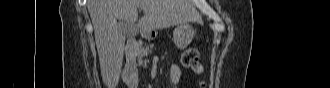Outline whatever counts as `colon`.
<instances>
[{"instance_id": "colon-1", "label": "colon", "mask_w": 330, "mask_h": 88, "mask_svg": "<svg viewBox=\"0 0 330 88\" xmlns=\"http://www.w3.org/2000/svg\"><path fill=\"white\" fill-rule=\"evenodd\" d=\"M182 64L196 74H201L203 71V67L199 62V53L194 48H189L184 51L182 55Z\"/></svg>"}]
</instances>
